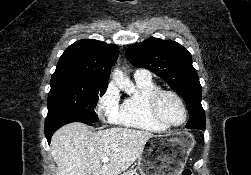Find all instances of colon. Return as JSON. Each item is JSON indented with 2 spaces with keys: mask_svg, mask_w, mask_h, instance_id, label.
Returning <instances> with one entry per match:
<instances>
[{
  "mask_svg": "<svg viewBox=\"0 0 251 175\" xmlns=\"http://www.w3.org/2000/svg\"><path fill=\"white\" fill-rule=\"evenodd\" d=\"M181 175H194V174L190 168H185V169H183Z\"/></svg>",
  "mask_w": 251,
  "mask_h": 175,
  "instance_id": "1",
  "label": "colon"
}]
</instances>
